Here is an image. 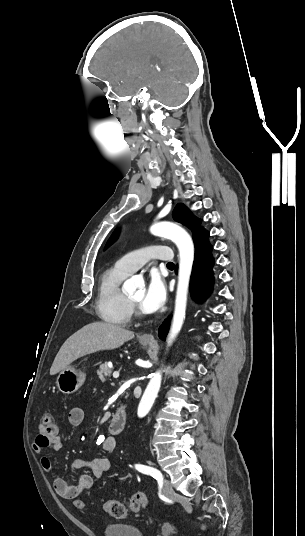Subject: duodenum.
<instances>
[{"label": "duodenum", "mask_w": 305, "mask_h": 536, "mask_svg": "<svg viewBox=\"0 0 305 536\" xmlns=\"http://www.w3.org/2000/svg\"><path fill=\"white\" fill-rule=\"evenodd\" d=\"M127 419L128 417H127L126 410L123 407H120L113 414L109 422V425H108L109 431L113 434L121 433L126 427Z\"/></svg>", "instance_id": "obj_1"}]
</instances>
